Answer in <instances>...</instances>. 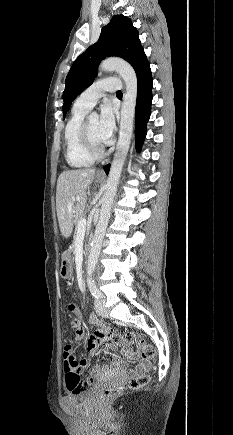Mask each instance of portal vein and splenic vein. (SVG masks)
Masks as SVG:
<instances>
[{"label":"portal vein and splenic vein","mask_w":233,"mask_h":435,"mask_svg":"<svg viewBox=\"0 0 233 435\" xmlns=\"http://www.w3.org/2000/svg\"><path fill=\"white\" fill-rule=\"evenodd\" d=\"M79 200V198L77 199ZM86 230V219H80L77 224V234L85 233Z\"/></svg>","instance_id":"18ae733b"}]
</instances>
